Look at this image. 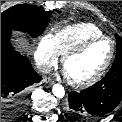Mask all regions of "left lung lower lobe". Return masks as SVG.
Wrapping results in <instances>:
<instances>
[{
    "label": "left lung lower lobe",
    "mask_w": 122,
    "mask_h": 122,
    "mask_svg": "<svg viewBox=\"0 0 122 122\" xmlns=\"http://www.w3.org/2000/svg\"><path fill=\"white\" fill-rule=\"evenodd\" d=\"M121 100L122 65H117L98 83L81 92L68 93L66 111L74 117L91 120L110 113Z\"/></svg>",
    "instance_id": "0a47b994"
}]
</instances>
